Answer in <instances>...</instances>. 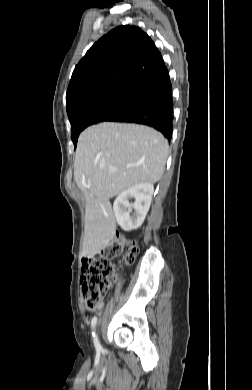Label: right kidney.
I'll use <instances>...</instances> for the list:
<instances>
[{"mask_svg": "<svg viewBox=\"0 0 252 390\" xmlns=\"http://www.w3.org/2000/svg\"><path fill=\"white\" fill-rule=\"evenodd\" d=\"M154 186L152 183H140L120 193L114 201L113 211L116 221L125 231L139 228L149 210ZM135 199L130 203L129 199ZM134 209V213L130 215Z\"/></svg>", "mask_w": 252, "mask_h": 390, "instance_id": "ca27d5eb", "label": "right kidney"}]
</instances>
